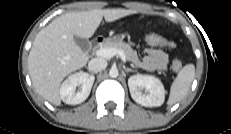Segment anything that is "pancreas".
<instances>
[{
	"instance_id": "obj_1",
	"label": "pancreas",
	"mask_w": 231,
	"mask_h": 134,
	"mask_svg": "<svg viewBox=\"0 0 231 134\" xmlns=\"http://www.w3.org/2000/svg\"><path fill=\"white\" fill-rule=\"evenodd\" d=\"M101 48H114L117 50H122L125 53L127 60L129 61H131L133 55H135V51L129 44L119 40L109 39L101 45Z\"/></svg>"
}]
</instances>
